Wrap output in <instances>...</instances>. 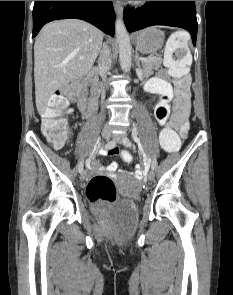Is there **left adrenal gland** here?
Instances as JSON below:
<instances>
[{"label":"left adrenal gland","instance_id":"a2214340","mask_svg":"<svg viewBox=\"0 0 233 295\" xmlns=\"http://www.w3.org/2000/svg\"><path fill=\"white\" fill-rule=\"evenodd\" d=\"M135 62H136V66L137 67H141V65H140V61H139V55H138V52L136 51V53H135Z\"/></svg>","mask_w":233,"mask_h":295}]
</instances>
